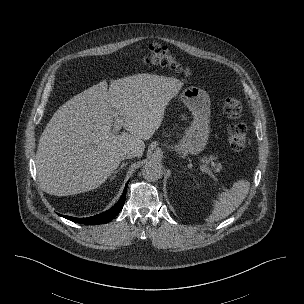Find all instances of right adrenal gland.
Wrapping results in <instances>:
<instances>
[{"mask_svg": "<svg viewBox=\"0 0 304 304\" xmlns=\"http://www.w3.org/2000/svg\"><path fill=\"white\" fill-rule=\"evenodd\" d=\"M127 163H122L121 166L114 172L113 176L111 177V180L114 179L116 177V174L123 169L124 166H126Z\"/></svg>", "mask_w": 304, "mask_h": 304, "instance_id": "obj_1", "label": "right adrenal gland"}]
</instances>
